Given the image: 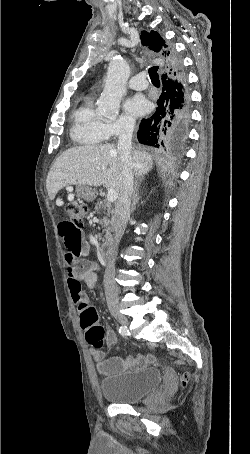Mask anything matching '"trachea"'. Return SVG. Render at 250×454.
<instances>
[{"mask_svg":"<svg viewBox=\"0 0 250 454\" xmlns=\"http://www.w3.org/2000/svg\"><path fill=\"white\" fill-rule=\"evenodd\" d=\"M157 71H158V66L151 67L148 70L150 79H151V81H152V83L154 85L159 84V82H160L159 81V75H158Z\"/></svg>","mask_w":250,"mask_h":454,"instance_id":"3493384b","label":"trachea"}]
</instances>
